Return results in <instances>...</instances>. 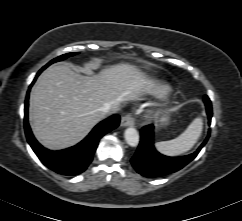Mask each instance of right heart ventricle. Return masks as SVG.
Masks as SVG:
<instances>
[{
    "instance_id": "1",
    "label": "right heart ventricle",
    "mask_w": 242,
    "mask_h": 221,
    "mask_svg": "<svg viewBox=\"0 0 242 221\" xmlns=\"http://www.w3.org/2000/svg\"><path fill=\"white\" fill-rule=\"evenodd\" d=\"M151 90L156 94H164L168 91V87L160 83H151Z\"/></svg>"
}]
</instances>
